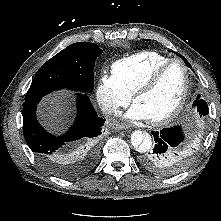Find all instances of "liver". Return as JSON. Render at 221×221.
Masks as SVG:
<instances>
[{
    "instance_id": "obj_1",
    "label": "liver",
    "mask_w": 221,
    "mask_h": 221,
    "mask_svg": "<svg viewBox=\"0 0 221 221\" xmlns=\"http://www.w3.org/2000/svg\"><path fill=\"white\" fill-rule=\"evenodd\" d=\"M70 93L61 91L44 98L38 110V117L49 130L59 131L64 128L71 113Z\"/></svg>"
}]
</instances>
